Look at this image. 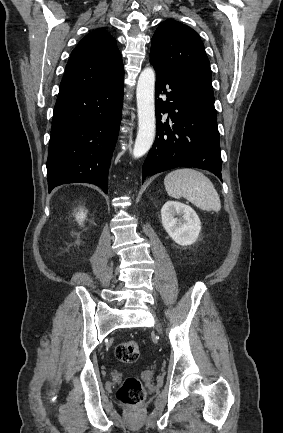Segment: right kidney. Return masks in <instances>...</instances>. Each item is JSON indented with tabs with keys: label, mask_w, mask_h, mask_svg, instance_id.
<instances>
[{
	"label": "right kidney",
	"mask_w": 283,
	"mask_h": 433,
	"mask_svg": "<svg viewBox=\"0 0 283 433\" xmlns=\"http://www.w3.org/2000/svg\"><path fill=\"white\" fill-rule=\"evenodd\" d=\"M85 218H86V212L84 213L83 210H80V212L76 214V219L80 225L82 224Z\"/></svg>",
	"instance_id": "1"
}]
</instances>
